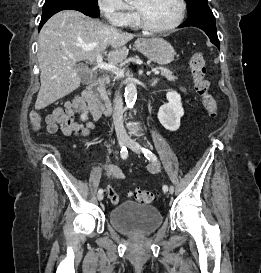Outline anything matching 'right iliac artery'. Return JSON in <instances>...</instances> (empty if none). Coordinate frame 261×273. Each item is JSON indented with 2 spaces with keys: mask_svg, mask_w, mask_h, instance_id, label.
Here are the masks:
<instances>
[{
  "mask_svg": "<svg viewBox=\"0 0 261 273\" xmlns=\"http://www.w3.org/2000/svg\"><path fill=\"white\" fill-rule=\"evenodd\" d=\"M120 154H121V158L122 159H126L127 156H128L127 148L126 147H122V149L120 151ZM100 193H103V189H101V188L98 190V194H100Z\"/></svg>",
  "mask_w": 261,
  "mask_h": 273,
  "instance_id": "1",
  "label": "right iliac artery"
}]
</instances>
